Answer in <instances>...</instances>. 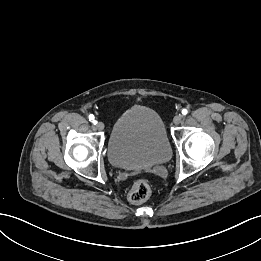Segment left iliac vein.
<instances>
[{"mask_svg":"<svg viewBox=\"0 0 261 261\" xmlns=\"http://www.w3.org/2000/svg\"><path fill=\"white\" fill-rule=\"evenodd\" d=\"M183 116L181 114H178L174 117L173 122L174 124L178 125L182 122Z\"/></svg>","mask_w":261,"mask_h":261,"instance_id":"left-iliac-vein-1","label":"left iliac vein"}]
</instances>
